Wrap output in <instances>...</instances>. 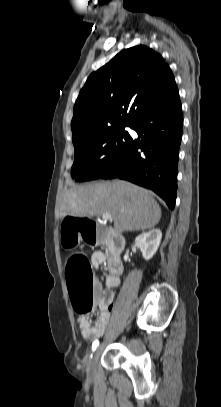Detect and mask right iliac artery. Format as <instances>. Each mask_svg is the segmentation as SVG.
Masks as SVG:
<instances>
[{"label": "right iliac artery", "instance_id": "right-iliac-artery-1", "mask_svg": "<svg viewBox=\"0 0 221 407\" xmlns=\"http://www.w3.org/2000/svg\"><path fill=\"white\" fill-rule=\"evenodd\" d=\"M98 345H99V341H98V340H95V341L93 342V344H92V350L94 351V350L97 348Z\"/></svg>", "mask_w": 221, "mask_h": 407}]
</instances>
